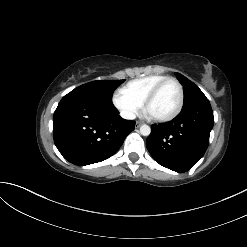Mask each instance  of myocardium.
Wrapping results in <instances>:
<instances>
[{"instance_id":"obj_1","label":"myocardium","mask_w":247,"mask_h":247,"mask_svg":"<svg viewBox=\"0 0 247 247\" xmlns=\"http://www.w3.org/2000/svg\"><path fill=\"white\" fill-rule=\"evenodd\" d=\"M169 82H173L174 84H176L178 91H179V102L178 105L176 107V109L169 115L164 116V117H154L151 116V118L159 123H165V122H169L172 121L173 119H175L182 111L183 106H184V101H185V96H184V89L182 84L180 83V81L174 77H166L165 79H163L162 81H160L146 96V98L143 101V107L144 110L147 111V107L150 104V102L156 97V95L160 92V90L164 87V85H166Z\"/></svg>"}]
</instances>
